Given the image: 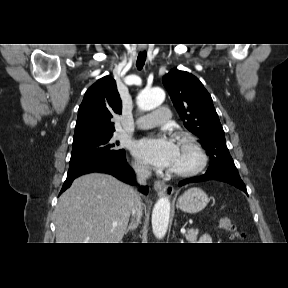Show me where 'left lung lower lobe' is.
<instances>
[{
    "mask_svg": "<svg viewBox=\"0 0 288 288\" xmlns=\"http://www.w3.org/2000/svg\"><path fill=\"white\" fill-rule=\"evenodd\" d=\"M208 180H219L228 184H231L240 190L244 191L247 194L246 186L241 180L240 177H232V176H225V175H210V174H204L198 177H193L189 179H185L179 182V186L188 184V183H195V182H201V181H208Z\"/></svg>",
    "mask_w": 288,
    "mask_h": 288,
    "instance_id": "0a47b994",
    "label": "left lung lower lobe"
}]
</instances>
